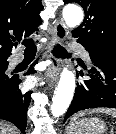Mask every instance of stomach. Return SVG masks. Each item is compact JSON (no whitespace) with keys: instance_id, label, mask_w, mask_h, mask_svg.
<instances>
[{"instance_id":"0dacf381","label":"stomach","mask_w":116,"mask_h":134,"mask_svg":"<svg viewBox=\"0 0 116 134\" xmlns=\"http://www.w3.org/2000/svg\"><path fill=\"white\" fill-rule=\"evenodd\" d=\"M105 124L98 118H84L71 123L67 128V134H104Z\"/></svg>"}]
</instances>
